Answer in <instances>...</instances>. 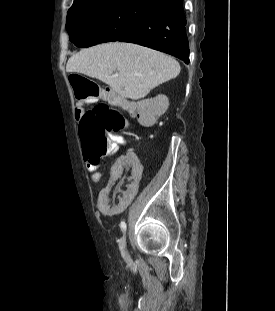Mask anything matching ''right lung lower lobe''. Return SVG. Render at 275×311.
Returning a JSON list of instances; mask_svg holds the SVG:
<instances>
[{"mask_svg":"<svg viewBox=\"0 0 275 311\" xmlns=\"http://www.w3.org/2000/svg\"><path fill=\"white\" fill-rule=\"evenodd\" d=\"M116 41L153 48L188 64L189 45L182 0L161 3L134 22Z\"/></svg>","mask_w":275,"mask_h":311,"instance_id":"right-lung-lower-lobe-1","label":"right lung lower lobe"}]
</instances>
